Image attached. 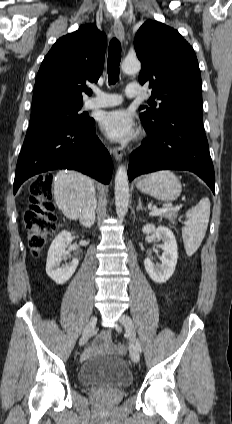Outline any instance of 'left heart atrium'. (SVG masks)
<instances>
[{"mask_svg": "<svg viewBox=\"0 0 232 424\" xmlns=\"http://www.w3.org/2000/svg\"><path fill=\"white\" fill-rule=\"evenodd\" d=\"M101 128L107 136L117 142H127L135 135L132 116L125 110L105 113L101 118Z\"/></svg>", "mask_w": 232, "mask_h": 424, "instance_id": "left-heart-atrium-1", "label": "left heart atrium"}]
</instances>
